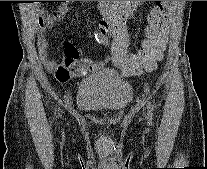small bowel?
<instances>
[{"label":"small bowel","instance_id":"small-bowel-1","mask_svg":"<svg viewBox=\"0 0 207 169\" xmlns=\"http://www.w3.org/2000/svg\"><path fill=\"white\" fill-rule=\"evenodd\" d=\"M56 13H49L41 10L37 13V31H38V51L45 65V68L53 73L56 79L60 82H67L72 78L85 76L91 72L98 71L103 67L102 62H94L90 59L81 58L78 49L72 41H68L64 48V56L60 63L50 57L49 42L46 37V31L53 28L68 12L67 4L74 1H61ZM142 1H129L125 6L118 7L112 1H100V9L104 15V19L100 24L101 43L108 44V39L103 37L102 33H110L112 38L111 44H116L119 41L126 40L128 37L125 31V22L131 18L138 4ZM113 51V49H112ZM108 61L117 65L113 58V54L108 58ZM153 69H146L150 72Z\"/></svg>","mask_w":207,"mask_h":169}]
</instances>
